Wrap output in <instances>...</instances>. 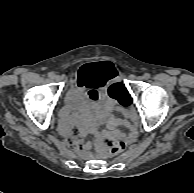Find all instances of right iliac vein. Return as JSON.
<instances>
[{
	"mask_svg": "<svg viewBox=\"0 0 194 193\" xmlns=\"http://www.w3.org/2000/svg\"><path fill=\"white\" fill-rule=\"evenodd\" d=\"M53 79L58 82V81H60L61 78H60L59 75H54L53 76Z\"/></svg>",
	"mask_w": 194,
	"mask_h": 193,
	"instance_id": "1",
	"label": "right iliac vein"
}]
</instances>
